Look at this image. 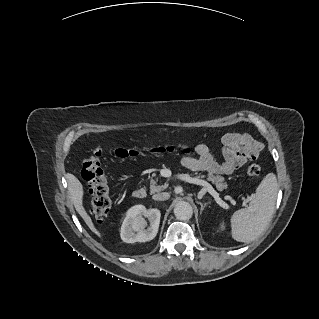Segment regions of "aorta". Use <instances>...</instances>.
<instances>
[{
  "mask_svg": "<svg viewBox=\"0 0 319 319\" xmlns=\"http://www.w3.org/2000/svg\"><path fill=\"white\" fill-rule=\"evenodd\" d=\"M174 215L178 220H189L193 215V208L188 202L180 201L174 207Z\"/></svg>",
  "mask_w": 319,
  "mask_h": 319,
  "instance_id": "1",
  "label": "aorta"
}]
</instances>
